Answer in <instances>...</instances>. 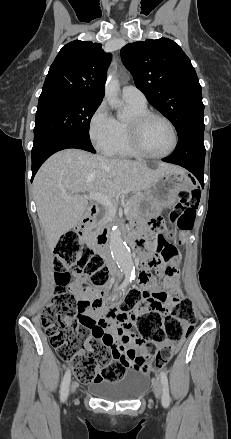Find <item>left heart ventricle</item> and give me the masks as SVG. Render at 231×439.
I'll return each instance as SVG.
<instances>
[{"mask_svg": "<svg viewBox=\"0 0 231 439\" xmlns=\"http://www.w3.org/2000/svg\"><path fill=\"white\" fill-rule=\"evenodd\" d=\"M141 141L148 152L163 154L172 147L173 136L165 121L159 118H151L142 128Z\"/></svg>", "mask_w": 231, "mask_h": 439, "instance_id": "obj_1", "label": "left heart ventricle"}]
</instances>
